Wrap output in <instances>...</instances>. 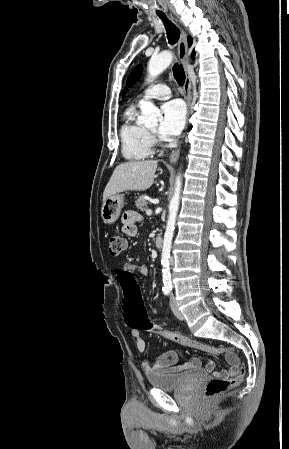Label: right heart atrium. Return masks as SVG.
<instances>
[{"instance_id":"d8ad5b80","label":"right heart atrium","mask_w":289,"mask_h":449,"mask_svg":"<svg viewBox=\"0 0 289 449\" xmlns=\"http://www.w3.org/2000/svg\"><path fill=\"white\" fill-rule=\"evenodd\" d=\"M151 140H152V142H154V137L153 136H151Z\"/></svg>"}]
</instances>
